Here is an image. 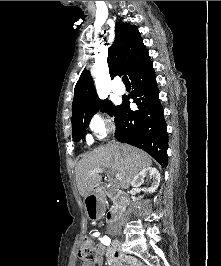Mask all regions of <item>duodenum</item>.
<instances>
[{
    "label": "duodenum",
    "mask_w": 221,
    "mask_h": 266,
    "mask_svg": "<svg viewBox=\"0 0 221 266\" xmlns=\"http://www.w3.org/2000/svg\"><path fill=\"white\" fill-rule=\"evenodd\" d=\"M107 193V190L102 185H98L96 189H90V191L87 192L88 198H85V206L88 219H92V222H95V219H101L103 206H105L103 198ZM109 194L118 199L122 197L117 191H111ZM118 214L119 209L108 210L106 213L107 222L109 224H114L117 221Z\"/></svg>",
    "instance_id": "obj_1"
}]
</instances>
